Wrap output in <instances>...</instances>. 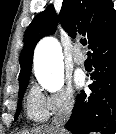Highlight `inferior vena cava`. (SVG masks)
Wrapping results in <instances>:
<instances>
[{"mask_svg":"<svg viewBox=\"0 0 116 134\" xmlns=\"http://www.w3.org/2000/svg\"><path fill=\"white\" fill-rule=\"evenodd\" d=\"M72 107V104L69 103L61 111L57 113L51 126L55 134H64V125L71 115Z\"/></svg>","mask_w":116,"mask_h":134,"instance_id":"inferior-vena-cava-1","label":"inferior vena cava"}]
</instances>
